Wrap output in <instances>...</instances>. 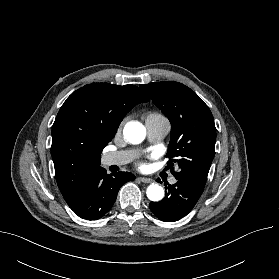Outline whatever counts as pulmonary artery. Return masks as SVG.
<instances>
[{"instance_id": "1", "label": "pulmonary artery", "mask_w": 279, "mask_h": 279, "mask_svg": "<svg viewBox=\"0 0 279 279\" xmlns=\"http://www.w3.org/2000/svg\"><path fill=\"white\" fill-rule=\"evenodd\" d=\"M147 137L151 142L162 140L170 130V123L166 118L151 119L146 121ZM135 151H118L105 154L102 158L104 166L123 165L132 160ZM170 183L175 184L176 178L171 177Z\"/></svg>"}]
</instances>
